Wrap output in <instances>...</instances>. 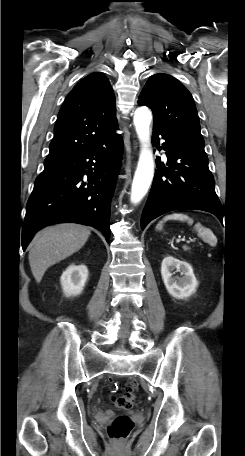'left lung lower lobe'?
Returning a JSON list of instances; mask_svg holds the SVG:
<instances>
[{"instance_id":"obj_1","label":"left lung lower lobe","mask_w":245,"mask_h":456,"mask_svg":"<svg viewBox=\"0 0 245 456\" xmlns=\"http://www.w3.org/2000/svg\"><path fill=\"white\" fill-rule=\"evenodd\" d=\"M159 138L165 140L159 150L166 151L168 167L156 160L157 170L141 217L142 230L153 219L177 209L203 210L222 220L204 147L172 129L154 127V143Z\"/></svg>"}]
</instances>
